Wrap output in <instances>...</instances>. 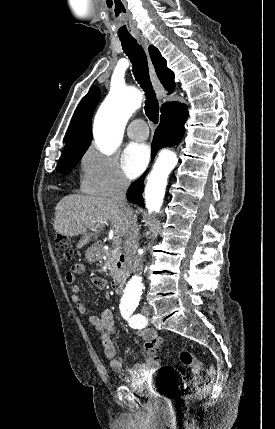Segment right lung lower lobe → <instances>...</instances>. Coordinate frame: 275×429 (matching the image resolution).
<instances>
[{"label": "right lung lower lobe", "mask_w": 275, "mask_h": 429, "mask_svg": "<svg viewBox=\"0 0 275 429\" xmlns=\"http://www.w3.org/2000/svg\"><path fill=\"white\" fill-rule=\"evenodd\" d=\"M187 106L177 102L173 108L161 117L160 124L155 131L152 145V159L156 153L163 147H170L177 144L183 137L185 129L184 124L188 118ZM146 173L136 180L129 187L126 197L131 203L144 207L143 183Z\"/></svg>", "instance_id": "right-lung-lower-lobe-1"}]
</instances>
